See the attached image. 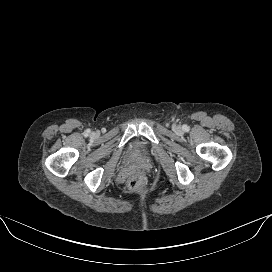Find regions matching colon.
Here are the masks:
<instances>
[{"label": "colon", "instance_id": "5ec220e1", "mask_svg": "<svg viewBox=\"0 0 272 272\" xmlns=\"http://www.w3.org/2000/svg\"><path fill=\"white\" fill-rule=\"evenodd\" d=\"M128 187L134 191H141L147 187V180L142 172L133 173L128 180Z\"/></svg>", "mask_w": 272, "mask_h": 272}]
</instances>
